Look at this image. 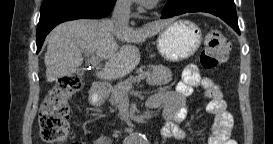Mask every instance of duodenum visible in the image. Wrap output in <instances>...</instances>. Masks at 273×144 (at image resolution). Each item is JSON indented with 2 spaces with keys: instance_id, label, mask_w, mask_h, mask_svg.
I'll use <instances>...</instances> for the list:
<instances>
[{
  "instance_id": "1",
  "label": "duodenum",
  "mask_w": 273,
  "mask_h": 144,
  "mask_svg": "<svg viewBox=\"0 0 273 144\" xmlns=\"http://www.w3.org/2000/svg\"><path fill=\"white\" fill-rule=\"evenodd\" d=\"M106 88L103 83L96 82L93 86L92 93L97 96H101L104 94ZM149 101L155 106V107H165L167 104V100L163 94H156L152 96Z\"/></svg>"
}]
</instances>
